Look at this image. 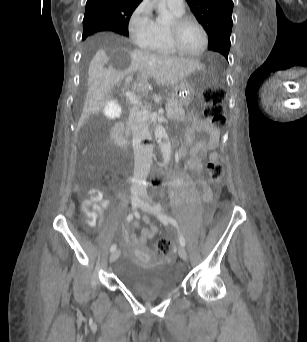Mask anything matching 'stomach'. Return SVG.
Returning <instances> with one entry per match:
<instances>
[{
  "label": "stomach",
  "mask_w": 307,
  "mask_h": 342,
  "mask_svg": "<svg viewBox=\"0 0 307 342\" xmlns=\"http://www.w3.org/2000/svg\"><path fill=\"white\" fill-rule=\"evenodd\" d=\"M201 76L202 70H195L173 87L172 94L181 104L188 105L193 101L198 91Z\"/></svg>",
  "instance_id": "0dacf381"
}]
</instances>
